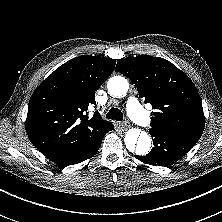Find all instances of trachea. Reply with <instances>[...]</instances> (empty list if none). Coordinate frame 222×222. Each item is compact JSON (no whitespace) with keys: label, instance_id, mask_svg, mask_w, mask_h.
Wrapping results in <instances>:
<instances>
[{"label":"trachea","instance_id":"obj_1","mask_svg":"<svg viewBox=\"0 0 222 222\" xmlns=\"http://www.w3.org/2000/svg\"><path fill=\"white\" fill-rule=\"evenodd\" d=\"M106 118L116 121H122L123 114L118 108H111L107 113Z\"/></svg>","mask_w":222,"mask_h":222}]
</instances>
